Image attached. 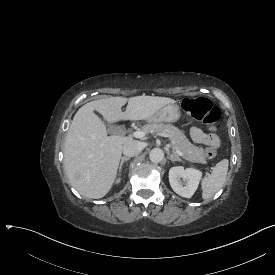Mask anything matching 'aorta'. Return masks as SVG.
<instances>
[{
	"mask_svg": "<svg viewBox=\"0 0 275 275\" xmlns=\"http://www.w3.org/2000/svg\"><path fill=\"white\" fill-rule=\"evenodd\" d=\"M150 160L154 163H159L164 158V152L160 148H153L149 154Z\"/></svg>",
	"mask_w": 275,
	"mask_h": 275,
	"instance_id": "obj_1",
	"label": "aorta"
}]
</instances>
